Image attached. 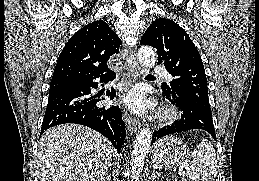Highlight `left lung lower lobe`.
<instances>
[{"mask_svg": "<svg viewBox=\"0 0 259 181\" xmlns=\"http://www.w3.org/2000/svg\"><path fill=\"white\" fill-rule=\"evenodd\" d=\"M163 93L169 101H172L179 107L183 114H181V119L174 124L155 131L153 133L152 143L163 136L191 129L205 130L216 140L212 114L195 106L188 98L179 97L166 91H163Z\"/></svg>", "mask_w": 259, "mask_h": 181, "instance_id": "obj_1", "label": "left lung lower lobe"}]
</instances>
